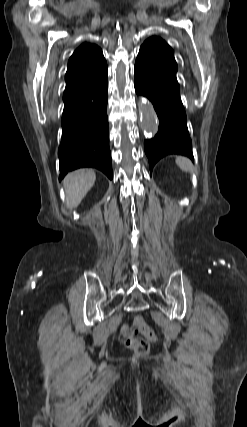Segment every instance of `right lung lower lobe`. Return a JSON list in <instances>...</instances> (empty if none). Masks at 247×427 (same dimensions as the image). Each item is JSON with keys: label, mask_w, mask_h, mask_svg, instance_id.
Returning <instances> with one entry per match:
<instances>
[{"label": "right lung lower lobe", "mask_w": 247, "mask_h": 427, "mask_svg": "<svg viewBox=\"0 0 247 427\" xmlns=\"http://www.w3.org/2000/svg\"><path fill=\"white\" fill-rule=\"evenodd\" d=\"M107 68L66 88L63 94L62 139L58 150L61 181L77 168L94 167L112 179L107 118Z\"/></svg>", "instance_id": "obj_1"}]
</instances>
